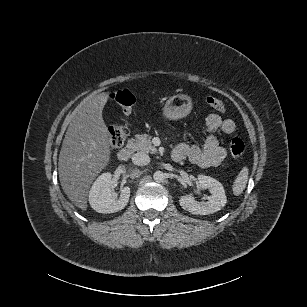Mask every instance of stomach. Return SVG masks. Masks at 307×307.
<instances>
[{
    "label": "stomach",
    "instance_id": "stomach-1",
    "mask_svg": "<svg viewBox=\"0 0 307 307\" xmlns=\"http://www.w3.org/2000/svg\"><path fill=\"white\" fill-rule=\"evenodd\" d=\"M194 101L187 93H176L170 96L162 107L164 119L172 122L187 118L193 111Z\"/></svg>",
    "mask_w": 307,
    "mask_h": 307
}]
</instances>
